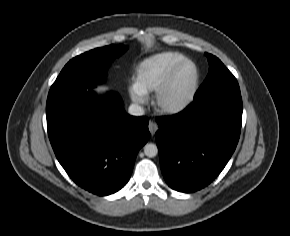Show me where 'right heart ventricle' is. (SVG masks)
I'll return each mask as SVG.
<instances>
[{"label": "right heart ventricle", "instance_id": "right-heart-ventricle-1", "mask_svg": "<svg viewBox=\"0 0 290 236\" xmlns=\"http://www.w3.org/2000/svg\"><path fill=\"white\" fill-rule=\"evenodd\" d=\"M186 57L178 52H162L143 61L136 71V84L145 93L157 90L174 67Z\"/></svg>", "mask_w": 290, "mask_h": 236}]
</instances>
